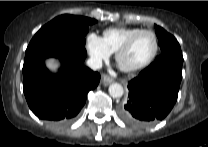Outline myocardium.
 Masks as SVG:
<instances>
[{
    "mask_svg": "<svg viewBox=\"0 0 208 147\" xmlns=\"http://www.w3.org/2000/svg\"><path fill=\"white\" fill-rule=\"evenodd\" d=\"M144 33H149L153 36L154 41H155V48L154 51L152 53V55L150 56V58L145 61L144 63L138 64V65H124L121 63V57L129 50V48L131 47V45L133 44V42L136 40V38L138 36H140L141 34ZM159 52V40L158 37L156 35V33L152 30H148V29H141L138 32L132 34L119 48L118 50L115 52V60L118 64V67L127 73H132V72H136L142 69H145L146 67L150 66L154 60L156 59L157 55Z\"/></svg>",
    "mask_w": 208,
    "mask_h": 147,
    "instance_id": "obj_1",
    "label": "myocardium"
}]
</instances>
